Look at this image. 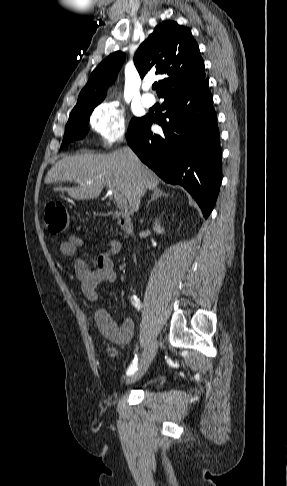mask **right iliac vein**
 I'll return each instance as SVG.
<instances>
[{"label": "right iliac vein", "instance_id": "right-iliac-vein-1", "mask_svg": "<svg viewBox=\"0 0 287 486\" xmlns=\"http://www.w3.org/2000/svg\"><path fill=\"white\" fill-rule=\"evenodd\" d=\"M157 341L152 340L145 348L138 370L127 379V384H133L145 374L157 352Z\"/></svg>", "mask_w": 287, "mask_h": 486}]
</instances>
